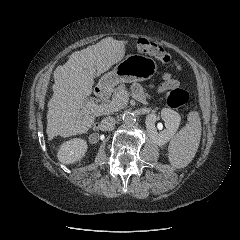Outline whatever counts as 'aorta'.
I'll return each mask as SVG.
<instances>
[{
  "label": "aorta",
  "instance_id": "762f6f07",
  "mask_svg": "<svg viewBox=\"0 0 240 240\" xmlns=\"http://www.w3.org/2000/svg\"><path fill=\"white\" fill-rule=\"evenodd\" d=\"M122 120L125 124L132 125L136 122V116L130 111H125L122 114Z\"/></svg>",
  "mask_w": 240,
  "mask_h": 240
}]
</instances>
